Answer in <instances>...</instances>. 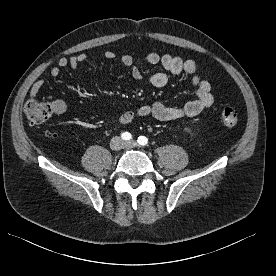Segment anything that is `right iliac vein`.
Here are the masks:
<instances>
[{
  "mask_svg": "<svg viewBox=\"0 0 276 276\" xmlns=\"http://www.w3.org/2000/svg\"><path fill=\"white\" fill-rule=\"evenodd\" d=\"M124 144L120 137H114L110 142V147L112 150L118 151L123 148Z\"/></svg>",
  "mask_w": 276,
  "mask_h": 276,
  "instance_id": "right-iliac-vein-1",
  "label": "right iliac vein"
}]
</instances>
